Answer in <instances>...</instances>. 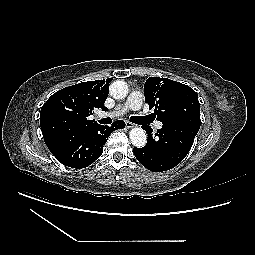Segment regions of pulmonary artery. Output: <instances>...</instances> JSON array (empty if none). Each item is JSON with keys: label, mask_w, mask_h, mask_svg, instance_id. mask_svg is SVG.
Masks as SVG:
<instances>
[{"label": "pulmonary artery", "mask_w": 255, "mask_h": 255, "mask_svg": "<svg viewBox=\"0 0 255 255\" xmlns=\"http://www.w3.org/2000/svg\"><path fill=\"white\" fill-rule=\"evenodd\" d=\"M144 96L140 91H132L127 98V101L122 107H119L110 113L111 116L116 117L130 110H139L143 104ZM155 127L157 129L162 128L161 122H156Z\"/></svg>", "instance_id": "obj_1"}]
</instances>
